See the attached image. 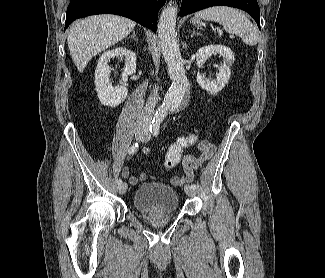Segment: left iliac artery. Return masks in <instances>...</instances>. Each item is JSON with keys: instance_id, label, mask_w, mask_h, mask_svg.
Returning <instances> with one entry per match:
<instances>
[{"instance_id": "44dca946", "label": "left iliac artery", "mask_w": 325, "mask_h": 278, "mask_svg": "<svg viewBox=\"0 0 325 278\" xmlns=\"http://www.w3.org/2000/svg\"><path fill=\"white\" fill-rule=\"evenodd\" d=\"M159 128H160L159 124L151 125L150 130H151V133L153 134V136H157V135H158V133H159ZM191 187H192L193 189H197V185H196V184H191Z\"/></svg>"}]
</instances>
